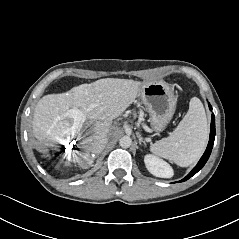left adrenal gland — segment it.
<instances>
[{
	"label": "left adrenal gland",
	"mask_w": 239,
	"mask_h": 239,
	"mask_svg": "<svg viewBox=\"0 0 239 239\" xmlns=\"http://www.w3.org/2000/svg\"><path fill=\"white\" fill-rule=\"evenodd\" d=\"M136 135H137V137H138L139 144L141 145V144L143 143V144L146 146V142H145V140L143 139L142 135H141L139 132H137Z\"/></svg>",
	"instance_id": "obj_1"
}]
</instances>
